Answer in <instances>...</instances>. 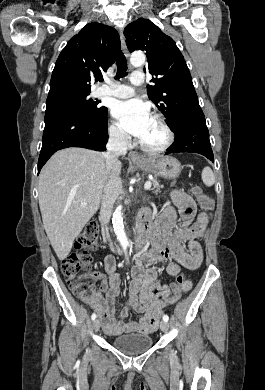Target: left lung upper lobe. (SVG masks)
Masks as SVG:
<instances>
[{"label":"left lung upper lobe","mask_w":265,"mask_h":390,"mask_svg":"<svg viewBox=\"0 0 265 390\" xmlns=\"http://www.w3.org/2000/svg\"><path fill=\"white\" fill-rule=\"evenodd\" d=\"M124 35L130 52L145 51L148 63L144 71L155 77L147 86L149 99L167 118L174 131L192 110L200 108L191 74L174 40L147 19L126 26Z\"/></svg>","instance_id":"obj_1"}]
</instances>
